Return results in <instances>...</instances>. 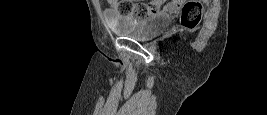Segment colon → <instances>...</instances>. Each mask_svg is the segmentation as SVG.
<instances>
[{
    "label": "colon",
    "instance_id": "5ec220e1",
    "mask_svg": "<svg viewBox=\"0 0 267 115\" xmlns=\"http://www.w3.org/2000/svg\"><path fill=\"white\" fill-rule=\"evenodd\" d=\"M119 12L127 17L142 19L150 14L160 12L156 4L134 3L131 0L118 1ZM202 7L199 3L187 2L183 5L180 14L181 24L185 27L196 26L201 18Z\"/></svg>",
    "mask_w": 267,
    "mask_h": 115
}]
</instances>
